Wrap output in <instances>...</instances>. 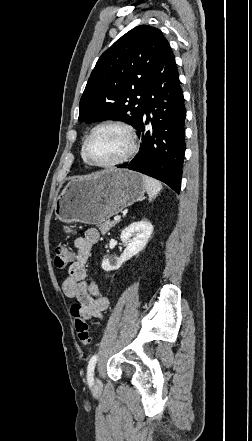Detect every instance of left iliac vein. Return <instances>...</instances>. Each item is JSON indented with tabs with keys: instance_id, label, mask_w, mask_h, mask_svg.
Listing matches in <instances>:
<instances>
[{
	"instance_id": "left-iliac-vein-1",
	"label": "left iliac vein",
	"mask_w": 252,
	"mask_h": 441,
	"mask_svg": "<svg viewBox=\"0 0 252 441\" xmlns=\"http://www.w3.org/2000/svg\"><path fill=\"white\" fill-rule=\"evenodd\" d=\"M99 384H100L99 379H98V378H95V380H94V385H95V386H98Z\"/></svg>"
}]
</instances>
